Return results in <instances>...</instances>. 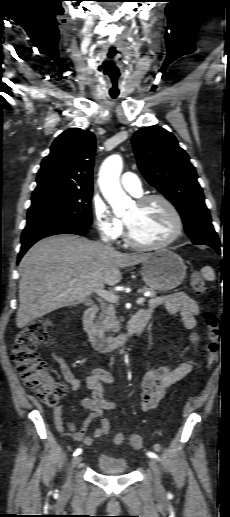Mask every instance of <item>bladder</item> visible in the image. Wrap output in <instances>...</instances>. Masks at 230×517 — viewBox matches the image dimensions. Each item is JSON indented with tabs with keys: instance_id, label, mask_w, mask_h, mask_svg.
Listing matches in <instances>:
<instances>
[{
	"instance_id": "1",
	"label": "bladder",
	"mask_w": 230,
	"mask_h": 517,
	"mask_svg": "<svg viewBox=\"0 0 230 517\" xmlns=\"http://www.w3.org/2000/svg\"><path fill=\"white\" fill-rule=\"evenodd\" d=\"M96 467L99 472L107 475H122L128 472L125 460L106 453L98 457Z\"/></svg>"
}]
</instances>
